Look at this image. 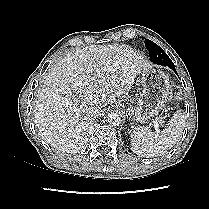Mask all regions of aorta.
Listing matches in <instances>:
<instances>
[{"mask_svg":"<svg viewBox=\"0 0 209 209\" xmlns=\"http://www.w3.org/2000/svg\"><path fill=\"white\" fill-rule=\"evenodd\" d=\"M107 123L112 126H119L122 123V116L119 112H111L106 115Z\"/></svg>","mask_w":209,"mask_h":209,"instance_id":"aorta-1","label":"aorta"}]
</instances>
